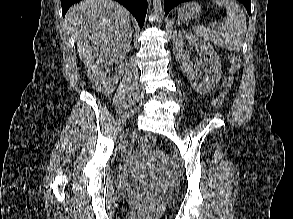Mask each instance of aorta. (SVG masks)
I'll list each match as a JSON object with an SVG mask.
<instances>
[{"instance_id": "1", "label": "aorta", "mask_w": 293, "mask_h": 219, "mask_svg": "<svg viewBox=\"0 0 293 219\" xmlns=\"http://www.w3.org/2000/svg\"><path fill=\"white\" fill-rule=\"evenodd\" d=\"M153 11L156 15H161L163 12L161 0H153Z\"/></svg>"}]
</instances>
